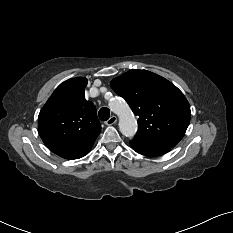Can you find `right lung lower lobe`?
Wrapping results in <instances>:
<instances>
[{"label":"right lung lower lobe","instance_id":"obj_1","mask_svg":"<svg viewBox=\"0 0 233 233\" xmlns=\"http://www.w3.org/2000/svg\"><path fill=\"white\" fill-rule=\"evenodd\" d=\"M92 145L93 144L76 149H55L51 151L65 159H78L85 156L91 149Z\"/></svg>","mask_w":233,"mask_h":233}]
</instances>
